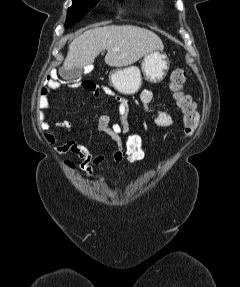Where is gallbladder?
<instances>
[{
    "label": "gallbladder",
    "instance_id": "obj_1",
    "mask_svg": "<svg viewBox=\"0 0 240 287\" xmlns=\"http://www.w3.org/2000/svg\"><path fill=\"white\" fill-rule=\"evenodd\" d=\"M83 74V67L76 66L70 70H63L61 71V76L63 79L67 81H77L79 78H81Z\"/></svg>",
    "mask_w": 240,
    "mask_h": 287
}]
</instances>
